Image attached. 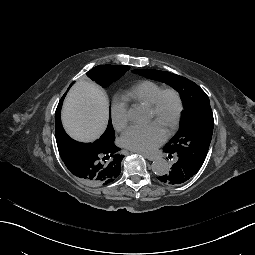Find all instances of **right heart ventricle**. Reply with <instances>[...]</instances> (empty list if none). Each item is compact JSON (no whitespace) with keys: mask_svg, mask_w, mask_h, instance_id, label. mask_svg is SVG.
<instances>
[{"mask_svg":"<svg viewBox=\"0 0 255 255\" xmlns=\"http://www.w3.org/2000/svg\"><path fill=\"white\" fill-rule=\"evenodd\" d=\"M161 88L162 86L154 81L144 80L136 84L131 90L127 91L123 95L122 100L124 104L139 102L148 106Z\"/></svg>","mask_w":255,"mask_h":255,"instance_id":"right-heart-ventricle-1","label":"right heart ventricle"}]
</instances>
